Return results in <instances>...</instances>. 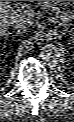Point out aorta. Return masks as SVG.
I'll use <instances>...</instances> for the list:
<instances>
[{
    "instance_id": "aorta-1",
    "label": "aorta",
    "mask_w": 74,
    "mask_h": 122,
    "mask_svg": "<svg viewBox=\"0 0 74 122\" xmlns=\"http://www.w3.org/2000/svg\"><path fill=\"white\" fill-rule=\"evenodd\" d=\"M63 53L55 44L45 43L40 47L39 58L48 66H58L63 61Z\"/></svg>"
}]
</instances>
